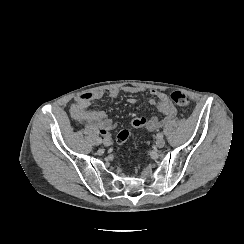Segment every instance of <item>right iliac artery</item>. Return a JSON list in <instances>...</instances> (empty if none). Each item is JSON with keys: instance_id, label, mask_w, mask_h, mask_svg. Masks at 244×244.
<instances>
[{"instance_id": "82829eb1", "label": "right iliac artery", "mask_w": 244, "mask_h": 244, "mask_svg": "<svg viewBox=\"0 0 244 244\" xmlns=\"http://www.w3.org/2000/svg\"><path fill=\"white\" fill-rule=\"evenodd\" d=\"M97 142H98L99 144H101V143H102V138L99 137V138L97 139Z\"/></svg>"}]
</instances>
